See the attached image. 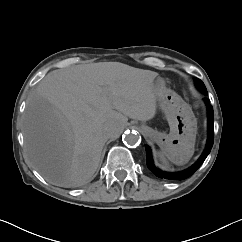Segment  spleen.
<instances>
[{"instance_id": "spleen-1", "label": "spleen", "mask_w": 242, "mask_h": 242, "mask_svg": "<svg viewBox=\"0 0 242 242\" xmlns=\"http://www.w3.org/2000/svg\"><path fill=\"white\" fill-rule=\"evenodd\" d=\"M192 155H193V153L191 154V156ZM159 156L162 159V161L165 163H166V158H167L169 161H171L175 164H178V165H182L189 160V158L184 159L178 152L168 151V150H163V149H161Z\"/></svg>"}]
</instances>
